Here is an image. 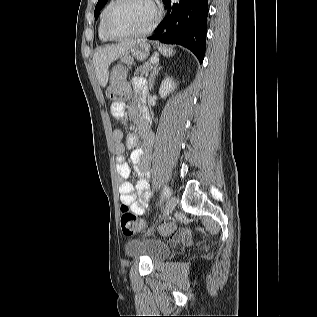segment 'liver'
I'll use <instances>...</instances> for the list:
<instances>
[{"instance_id": "obj_1", "label": "liver", "mask_w": 317, "mask_h": 317, "mask_svg": "<svg viewBox=\"0 0 317 317\" xmlns=\"http://www.w3.org/2000/svg\"><path fill=\"white\" fill-rule=\"evenodd\" d=\"M140 41H126L117 45H111L103 48H98L93 56V63L96 77L99 84L106 87L109 79V66L126 51H128L134 44Z\"/></svg>"}]
</instances>
